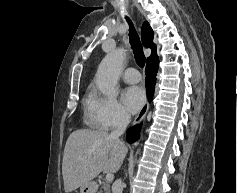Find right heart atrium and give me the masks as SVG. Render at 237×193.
I'll return each mask as SVG.
<instances>
[{
  "label": "right heart atrium",
  "instance_id": "right-heart-atrium-1",
  "mask_svg": "<svg viewBox=\"0 0 237 193\" xmlns=\"http://www.w3.org/2000/svg\"><path fill=\"white\" fill-rule=\"evenodd\" d=\"M94 124L108 131L122 127L129 122V114L115 96L94 94L91 105Z\"/></svg>",
  "mask_w": 237,
  "mask_h": 193
}]
</instances>
